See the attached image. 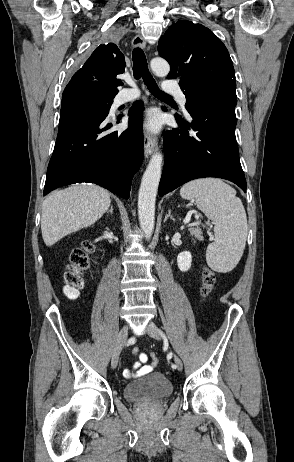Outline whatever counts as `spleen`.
<instances>
[{
    "label": "spleen",
    "mask_w": 294,
    "mask_h": 462,
    "mask_svg": "<svg viewBox=\"0 0 294 462\" xmlns=\"http://www.w3.org/2000/svg\"><path fill=\"white\" fill-rule=\"evenodd\" d=\"M180 195L195 200L215 224V241L206 251L209 267L222 273L231 271L242 257L247 238L246 212L236 190L220 179L206 178L186 183Z\"/></svg>",
    "instance_id": "obj_1"
}]
</instances>
